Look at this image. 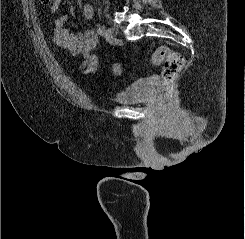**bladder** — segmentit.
I'll list each match as a JSON object with an SVG mask.
<instances>
[{
  "mask_svg": "<svg viewBox=\"0 0 245 239\" xmlns=\"http://www.w3.org/2000/svg\"><path fill=\"white\" fill-rule=\"evenodd\" d=\"M154 87L153 78L136 80L119 91L116 101L125 105L135 104L152 94Z\"/></svg>",
  "mask_w": 245,
  "mask_h": 239,
  "instance_id": "bladder-1",
  "label": "bladder"
}]
</instances>
